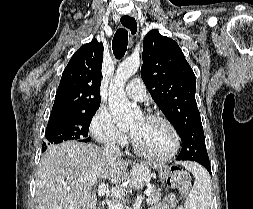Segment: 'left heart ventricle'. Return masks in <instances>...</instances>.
<instances>
[{
    "label": "left heart ventricle",
    "mask_w": 253,
    "mask_h": 209,
    "mask_svg": "<svg viewBox=\"0 0 253 209\" xmlns=\"http://www.w3.org/2000/svg\"><path fill=\"white\" fill-rule=\"evenodd\" d=\"M130 131L139 146L154 156L167 154L173 147V135L161 121L139 117L131 126Z\"/></svg>",
    "instance_id": "1"
}]
</instances>
